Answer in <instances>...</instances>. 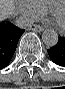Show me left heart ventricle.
<instances>
[{"label": "left heart ventricle", "instance_id": "1", "mask_svg": "<svg viewBox=\"0 0 65 89\" xmlns=\"http://www.w3.org/2000/svg\"><path fill=\"white\" fill-rule=\"evenodd\" d=\"M54 21L59 25L65 24V9L62 5L56 8L54 12Z\"/></svg>", "mask_w": 65, "mask_h": 89}]
</instances>
